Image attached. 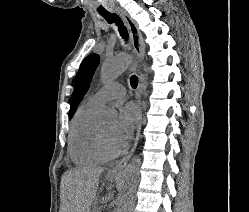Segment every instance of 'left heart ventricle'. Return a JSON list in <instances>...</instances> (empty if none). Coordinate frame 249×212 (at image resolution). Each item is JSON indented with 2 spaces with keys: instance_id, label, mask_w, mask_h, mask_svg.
Instances as JSON below:
<instances>
[{
  "instance_id": "obj_1",
  "label": "left heart ventricle",
  "mask_w": 249,
  "mask_h": 212,
  "mask_svg": "<svg viewBox=\"0 0 249 212\" xmlns=\"http://www.w3.org/2000/svg\"><path fill=\"white\" fill-rule=\"evenodd\" d=\"M99 127H100V130H101L102 138H103L106 146L110 150L114 151V149L112 148V146L110 144V136H111V132H112V129H113V122L102 124Z\"/></svg>"
}]
</instances>
